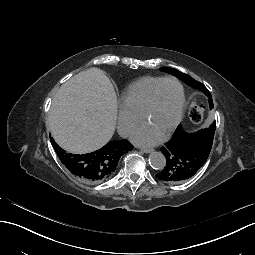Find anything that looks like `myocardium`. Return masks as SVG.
Segmentation results:
<instances>
[{"mask_svg": "<svg viewBox=\"0 0 255 255\" xmlns=\"http://www.w3.org/2000/svg\"><path fill=\"white\" fill-rule=\"evenodd\" d=\"M166 82H174L179 86L180 89V105H179V110H178V114L177 117L174 121V123L172 124V126L169 128V130L167 131V133L162 137L163 140H167L169 139L172 134L176 131V129L178 128V126L180 125L182 118H183V114H184V110H185V105H186V98H185V91H184V87L181 84V82L174 78V77H166L163 78L159 83H157L153 89L150 92L149 98L142 110V113L140 115V123L143 122V120L149 115V113L151 112L153 106H154V102H155V97L157 94V91L159 90V88Z\"/></svg>", "mask_w": 255, "mask_h": 255, "instance_id": "myocardium-1", "label": "myocardium"}]
</instances>
